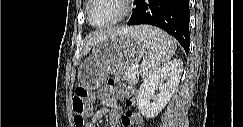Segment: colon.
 <instances>
[{
	"label": "colon",
	"instance_id": "colon-1",
	"mask_svg": "<svg viewBox=\"0 0 243 127\" xmlns=\"http://www.w3.org/2000/svg\"><path fill=\"white\" fill-rule=\"evenodd\" d=\"M101 97L112 95L116 99H122L125 102L127 110L122 117V125L125 127L138 126L140 117L132 107L135 105L136 93L131 84H125L118 79L110 78L106 86L99 92ZM90 92L84 86L76 89V94L72 99L73 120L76 127H84L86 117L90 112L88 99Z\"/></svg>",
	"mask_w": 243,
	"mask_h": 127
}]
</instances>
